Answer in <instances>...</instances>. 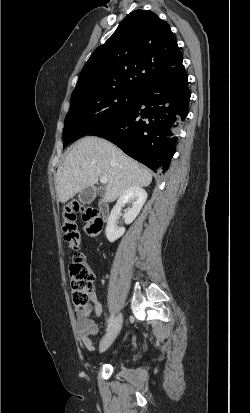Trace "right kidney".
<instances>
[{
	"label": "right kidney",
	"mask_w": 250,
	"mask_h": 413,
	"mask_svg": "<svg viewBox=\"0 0 250 413\" xmlns=\"http://www.w3.org/2000/svg\"><path fill=\"white\" fill-rule=\"evenodd\" d=\"M147 199L146 191L141 187H131L128 188L117 200L116 205L111 211L109 216L107 226L105 229V234L109 242H114L120 238L125 233V228H118L116 226L117 216L120 213L122 207L126 203L131 204V208L124 215L125 223L131 224L137 215L140 213L144 203Z\"/></svg>",
	"instance_id": "obj_1"
}]
</instances>
